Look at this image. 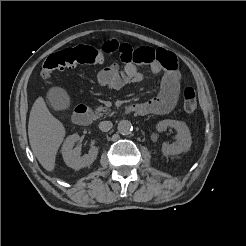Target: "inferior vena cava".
I'll return each instance as SVG.
<instances>
[{
  "label": "inferior vena cava",
  "mask_w": 246,
  "mask_h": 246,
  "mask_svg": "<svg viewBox=\"0 0 246 246\" xmlns=\"http://www.w3.org/2000/svg\"><path fill=\"white\" fill-rule=\"evenodd\" d=\"M113 124L111 121H102L99 123V129L103 132H107L112 128Z\"/></svg>",
  "instance_id": "obj_1"
}]
</instances>
